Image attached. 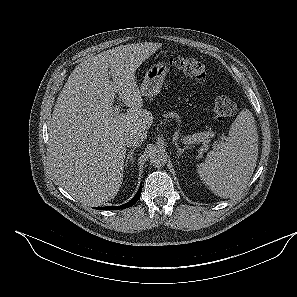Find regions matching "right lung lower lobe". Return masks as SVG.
<instances>
[{
  "mask_svg": "<svg viewBox=\"0 0 297 297\" xmlns=\"http://www.w3.org/2000/svg\"><path fill=\"white\" fill-rule=\"evenodd\" d=\"M141 191H142V185H140V188H139L137 194L134 196V198L131 201H129L128 203H126V204H123L121 206H115V207H112V206L111 207L110 206L99 207L97 209L98 210H118V209H124V208L131 207L138 201V199L140 197V194H141Z\"/></svg>",
  "mask_w": 297,
  "mask_h": 297,
  "instance_id": "obj_1",
  "label": "right lung lower lobe"
}]
</instances>
